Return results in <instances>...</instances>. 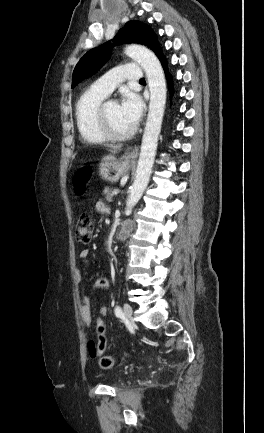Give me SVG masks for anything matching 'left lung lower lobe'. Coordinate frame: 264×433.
<instances>
[{
    "instance_id": "left-lung-lower-lobe-1",
    "label": "left lung lower lobe",
    "mask_w": 264,
    "mask_h": 433,
    "mask_svg": "<svg viewBox=\"0 0 264 433\" xmlns=\"http://www.w3.org/2000/svg\"><path fill=\"white\" fill-rule=\"evenodd\" d=\"M159 59H160L161 64L165 70V74H166L168 85H169V91L172 94L173 93L172 76L169 74V72L167 70V61L163 55L161 57H159Z\"/></svg>"
}]
</instances>
